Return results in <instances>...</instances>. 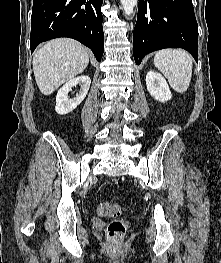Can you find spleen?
Wrapping results in <instances>:
<instances>
[{"mask_svg":"<svg viewBox=\"0 0 221 263\" xmlns=\"http://www.w3.org/2000/svg\"><path fill=\"white\" fill-rule=\"evenodd\" d=\"M154 65L168 79L175 91H187L193 67L192 57L188 52L181 49L160 50L155 53Z\"/></svg>","mask_w":221,"mask_h":263,"instance_id":"obj_1","label":"spleen"}]
</instances>
